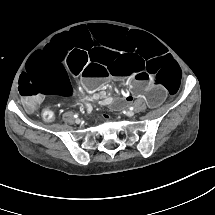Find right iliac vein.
<instances>
[{"label": "right iliac vein", "instance_id": "obj_1", "mask_svg": "<svg viewBox=\"0 0 215 215\" xmlns=\"http://www.w3.org/2000/svg\"><path fill=\"white\" fill-rule=\"evenodd\" d=\"M77 124H80L81 120L80 119H76L75 121Z\"/></svg>", "mask_w": 215, "mask_h": 215}]
</instances>
